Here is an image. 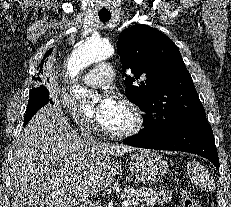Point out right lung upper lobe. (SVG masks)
<instances>
[{
	"instance_id": "obj_1",
	"label": "right lung upper lobe",
	"mask_w": 231,
	"mask_h": 207,
	"mask_svg": "<svg viewBox=\"0 0 231 207\" xmlns=\"http://www.w3.org/2000/svg\"><path fill=\"white\" fill-rule=\"evenodd\" d=\"M52 50H53V48H51L49 51H47L46 54L44 55V57H43V59H42V61H41V64H39V66H38V68H37V75L41 73L43 64H44V62L46 61V58L51 54ZM47 60H48V59H47ZM34 78H35V76H34ZM35 79H36V80H37V79H38V80H41V79L39 78V76L36 77Z\"/></svg>"
}]
</instances>
